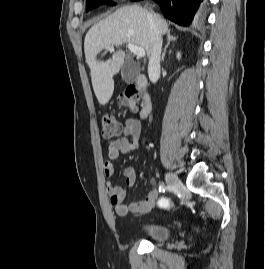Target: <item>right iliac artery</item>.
I'll return each instance as SVG.
<instances>
[{
    "label": "right iliac artery",
    "instance_id": "1",
    "mask_svg": "<svg viewBox=\"0 0 265 269\" xmlns=\"http://www.w3.org/2000/svg\"><path fill=\"white\" fill-rule=\"evenodd\" d=\"M166 189L167 187L163 183L159 185V192L164 193Z\"/></svg>",
    "mask_w": 265,
    "mask_h": 269
}]
</instances>
